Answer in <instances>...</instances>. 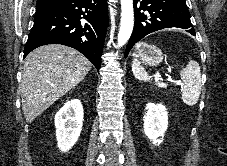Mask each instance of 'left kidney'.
<instances>
[{
  "instance_id": "1",
  "label": "left kidney",
  "mask_w": 227,
  "mask_h": 166,
  "mask_svg": "<svg viewBox=\"0 0 227 166\" xmlns=\"http://www.w3.org/2000/svg\"><path fill=\"white\" fill-rule=\"evenodd\" d=\"M146 110L143 119L144 133L154 145H160L168 127V112L161 103H148Z\"/></svg>"
}]
</instances>
